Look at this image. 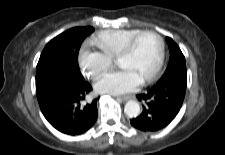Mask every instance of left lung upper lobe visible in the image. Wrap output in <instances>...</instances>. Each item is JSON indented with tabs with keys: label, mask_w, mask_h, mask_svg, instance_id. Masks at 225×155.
I'll use <instances>...</instances> for the list:
<instances>
[{
	"label": "left lung upper lobe",
	"mask_w": 225,
	"mask_h": 155,
	"mask_svg": "<svg viewBox=\"0 0 225 155\" xmlns=\"http://www.w3.org/2000/svg\"><path fill=\"white\" fill-rule=\"evenodd\" d=\"M167 43L170 49V62L163 77L159 81L176 80L187 83V70L185 57L181 52L177 44L169 37H167Z\"/></svg>",
	"instance_id": "1"
}]
</instances>
